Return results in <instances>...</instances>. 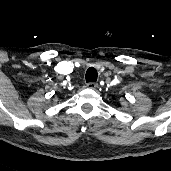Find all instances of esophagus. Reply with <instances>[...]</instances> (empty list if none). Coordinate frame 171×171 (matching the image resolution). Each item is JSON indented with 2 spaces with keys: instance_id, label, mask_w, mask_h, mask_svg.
<instances>
[{
  "instance_id": "1",
  "label": "esophagus",
  "mask_w": 171,
  "mask_h": 171,
  "mask_svg": "<svg viewBox=\"0 0 171 171\" xmlns=\"http://www.w3.org/2000/svg\"><path fill=\"white\" fill-rule=\"evenodd\" d=\"M86 86L89 89H96L98 87V84L96 82H89Z\"/></svg>"
}]
</instances>
